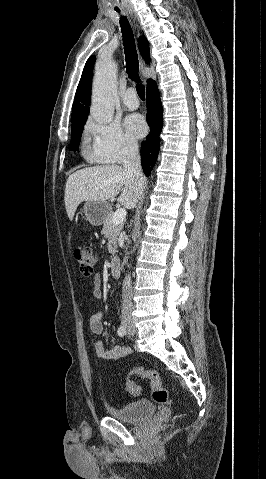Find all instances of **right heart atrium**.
Here are the masks:
<instances>
[{
	"instance_id": "d8ad5b80",
	"label": "right heart atrium",
	"mask_w": 266,
	"mask_h": 479,
	"mask_svg": "<svg viewBox=\"0 0 266 479\" xmlns=\"http://www.w3.org/2000/svg\"><path fill=\"white\" fill-rule=\"evenodd\" d=\"M85 130L90 140L87 156L96 162L121 163L137 151L136 143L124 133L117 122L90 119Z\"/></svg>"
}]
</instances>
